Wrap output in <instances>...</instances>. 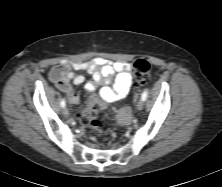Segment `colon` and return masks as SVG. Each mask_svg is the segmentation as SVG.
<instances>
[{"instance_id": "1", "label": "colon", "mask_w": 222, "mask_h": 187, "mask_svg": "<svg viewBox=\"0 0 222 187\" xmlns=\"http://www.w3.org/2000/svg\"><path fill=\"white\" fill-rule=\"evenodd\" d=\"M151 72V64L147 59H138L133 64V73L136 82L139 85H144L149 82ZM105 118V105L104 100L94 96L86 108L79 116V122L83 126L97 129L100 127L103 119ZM107 138H112V133H106Z\"/></svg>"}]
</instances>
